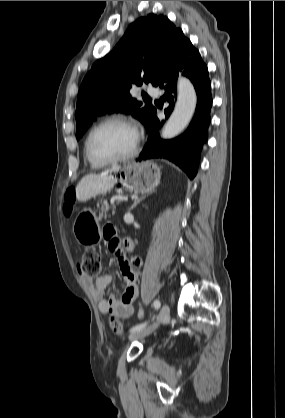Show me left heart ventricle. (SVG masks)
I'll return each instance as SVG.
<instances>
[{"label":"left heart ventricle","instance_id":"b2bd125f","mask_svg":"<svg viewBox=\"0 0 285 418\" xmlns=\"http://www.w3.org/2000/svg\"><path fill=\"white\" fill-rule=\"evenodd\" d=\"M135 131L127 126L110 124L99 129L91 140L92 151L100 157H119L135 144Z\"/></svg>","mask_w":285,"mask_h":418}]
</instances>
